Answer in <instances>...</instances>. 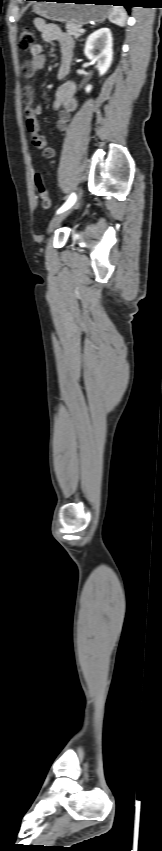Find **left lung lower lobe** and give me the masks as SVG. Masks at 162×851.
I'll use <instances>...</instances> for the list:
<instances>
[{
  "instance_id": "1",
  "label": "left lung lower lobe",
  "mask_w": 162,
  "mask_h": 851,
  "mask_svg": "<svg viewBox=\"0 0 162 851\" xmlns=\"http://www.w3.org/2000/svg\"><path fill=\"white\" fill-rule=\"evenodd\" d=\"M43 1H45V0H43ZM102 1H103V3H110V4H113V5H122L125 8H127V10H129V8L131 6L129 4L128 0H102Z\"/></svg>"
}]
</instances>
